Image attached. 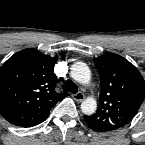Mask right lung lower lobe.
<instances>
[{"mask_svg":"<svg viewBox=\"0 0 145 145\" xmlns=\"http://www.w3.org/2000/svg\"><path fill=\"white\" fill-rule=\"evenodd\" d=\"M44 120H45V119H44ZM44 120H42V121H40V122H38V123H36V124H34V125L28 126V127L35 126V125H37V124H39V123L43 122Z\"/></svg>","mask_w":145,"mask_h":145,"instance_id":"right-lung-lower-lobe-1","label":"right lung lower lobe"}]
</instances>
